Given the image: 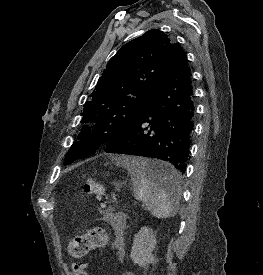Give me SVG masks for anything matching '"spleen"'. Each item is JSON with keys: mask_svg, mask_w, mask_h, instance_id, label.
I'll use <instances>...</instances> for the list:
<instances>
[{"mask_svg": "<svg viewBox=\"0 0 263 275\" xmlns=\"http://www.w3.org/2000/svg\"><path fill=\"white\" fill-rule=\"evenodd\" d=\"M121 164L127 168L131 176L136 199L147 206L152 216L164 219L176 214V204L180 196L179 183L172 191V197L146 173V170L152 168L170 169V164L140 157L126 158Z\"/></svg>", "mask_w": 263, "mask_h": 275, "instance_id": "obj_1", "label": "spleen"}]
</instances>
